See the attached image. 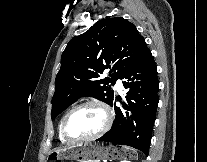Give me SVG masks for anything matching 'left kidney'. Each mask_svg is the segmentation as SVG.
<instances>
[{"label":"left kidney","instance_id":"5707ae66","mask_svg":"<svg viewBox=\"0 0 207 162\" xmlns=\"http://www.w3.org/2000/svg\"><path fill=\"white\" fill-rule=\"evenodd\" d=\"M122 162H130V161H126V160H125V161H122Z\"/></svg>","mask_w":207,"mask_h":162}]
</instances>
